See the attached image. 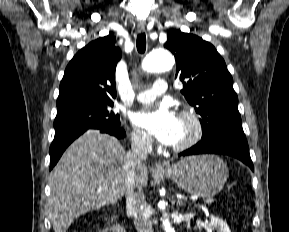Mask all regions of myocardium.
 Listing matches in <instances>:
<instances>
[{
    "label": "myocardium",
    "instance_id": "obj_1",
    "mask_svg": "<svg viewBox=\"0 0 289 232\" xmlns=\"http://www.w3.org/2000/svg\"><path fill=\"white\" fill-rule=\"evenodd\" d=\"M179 119L186 120L192 125L191 136L181 144L173 145L176 152L185 151L196 145L202 138L204 127L201 118L192 110L186 109L179 113Z\"/></svg>",
    "mask_w": 289,
    "mask_h": 232
}]
</instances>
